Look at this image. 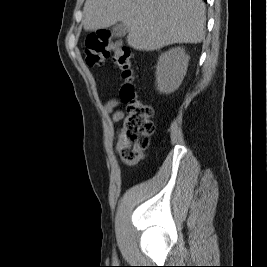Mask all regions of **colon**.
I'll use <instances>...</instances> for the list:
<instances>
[{
  "mask_svg": "<svg viewBox=\"0 0 267 267\" xmlns=\"http://www.w3.org/2000/svg\"><path fill=\"white\" fill-rule=\"evenodd\" d=\"M85 46L89 66H101L112 56L114 65L124 80L120 97L126 104V113L119 130L117 151L123 163L136 165L148 147L154 124L153 108L142 102L135 91L131 50L120 40L113 39L105 30L90 34Z\"/></svg>",
  "mask_w": 267,
  "mask_h": 267,
  "instance_id": "colon-1",
  "label": "colon"
}]
</instances>
